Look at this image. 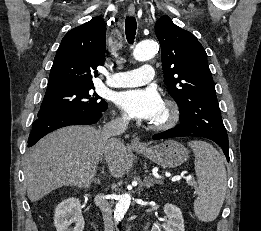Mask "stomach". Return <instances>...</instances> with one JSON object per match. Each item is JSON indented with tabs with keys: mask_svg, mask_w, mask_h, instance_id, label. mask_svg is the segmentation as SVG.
I'll list each match as a JSON object with an SVG mask.
<instances>
[{
	"mask_svg": "<svg viewBox=\"0 0 261 231\" xmlns=\"http://www.w3.org/2000/svg\"><path fill=\"white\" fill-rule=\"evenodd\" d=\"M136 151L164 168L178 167L188 158V150L174 140H166L158 145Z\"/></svg>",
	"mask_w": 261,
	"mask_h": 231,
	"instance_id": "stomach-1",
	"label": "stomach"
}]
</instances>
